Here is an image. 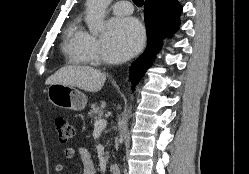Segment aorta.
I'll return each mask as SVG.
<instances>
[{
	"label": "aorta",
	"mask_w": 249,
	"mask_h": 174,
	"mask_svg": "<svg viewBox=\"0 0 249 174\" xmlns=\"http://www.w3.org/2000/svg\"><path fill=\"white\" fill-rule=\"evenodd\" d=\"M112 0H87L86 22L92 34H99L104 27L105 10Z\"/></svg>",
	"instance_id": "762f6f07"
}]
</instances>
